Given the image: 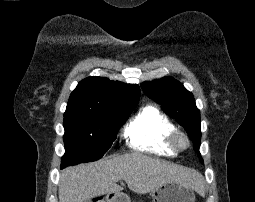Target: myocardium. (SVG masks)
Returning <instances> with one entry per match:
<instances>
[{
    "mask_svg": "<svg viewBox=\"0 0 255 202\" xmlns=\"http://www.w3.org/2000/svg\"><path fill=\"white\" fill-rule=\"evenodd\" d=\"M168 143L175 151H184L190 146V139L184 131L174 129L168 136Z\"/></svg>",
    "mask_w": 255,
    "mask_h": 202,
    "instance_id": "1",
    "label": "myocardium"
}]
</instances>
